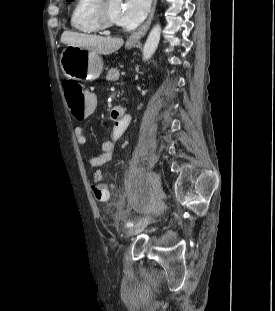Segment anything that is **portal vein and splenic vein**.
I'll use <instances>...</instances> for the list:
<instances>
[{
	"instance_id": "1",
	"label": "portal vein and splenic vein",
	"mask_w": 275,
	"mask_h": 311,
	"mask_svg": "<svg viewBox=\"0 0 275 311\" xmlns=\"http://www.w3.org/2000/svg\"><path fill=\"white\" fill-rule=\"evenodd\" d=\"M126 73L123 71V72H121V75H125Z\"/></svg>"
}]
</instances>
